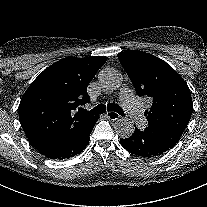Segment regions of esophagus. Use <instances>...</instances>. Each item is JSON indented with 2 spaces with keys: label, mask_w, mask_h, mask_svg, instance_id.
Here are the masks:
<instances>
[{
  "label": "esophagus",
  "mask_w": 207,
  "mask_h": 207,
  "mask_svg": "<svg viewBox=\"0 0 207 207\" xmlns=\"http://www.w3.org/2000/svg\"><path fill=\"white\" fill-rule=\"evenodd\" d=\"M106 117H107L108 119L114 121V120L119 119V118H120V115H119L118 113H116V112L108 111V112L106 113Z\"/></svg>",
  "instance_id": "obj_1"
}]
</instances>
